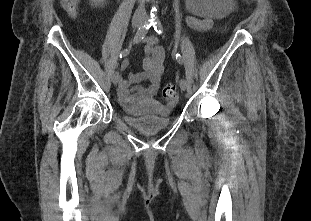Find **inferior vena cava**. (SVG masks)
I'll return each mask as SVG.
<instances>
[{
    "label": "inferior vena cava",
    "mask_w": 311,
    "mask_h": 221,
    "mask_svg": "<svg viewBox=\"0 0 311 221\" xmlns=\"http://www.w3.org/2000/svg\"><path fill=\"white\" fill-rule=\"evenodd\" d=\"M144 2H145V0H140V4H139L138 8H136V10L134 12V16H146V10H145V6H144Z\"/></svg>",
    "instance_id": "obj_1"
}]
</instances>
